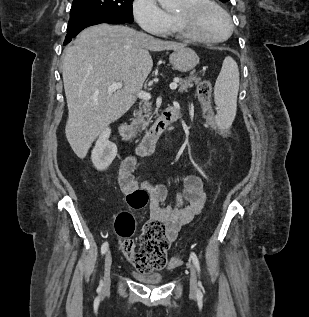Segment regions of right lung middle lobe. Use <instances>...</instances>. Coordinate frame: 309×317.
I'll use <instances>...</instances> for the list:
<instances>
[{
	"instance_id": "1",
	"label": "right lung middle lobe",
	"mask_w": 309,
	"mask_h": 317,
	"mask_svg": "<svg viewBox=\"0 0 309 317\" xmlns=\"http://www.w3.org/2000/svg\"><path fill=\"white\" fill-rule=\"evenodd\" d=\"M133 0H73L70 18L82 15H103L132 23Z\"/></svg>"
}]
</instances>
